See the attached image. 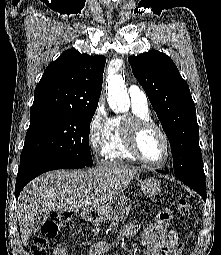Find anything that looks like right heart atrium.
Returning <instances> with one entry per match:
<instances>
[{"instance_id": "1", "label": "right heart atrium", "mask_w": 221, "mask_h": 255, "mask_svg": "<svg viewBox=\"0 0 221 255\" xmlns=\"http://www.w3.org/2000/svg\"><path fill=\"white\" fill-rule=\"evenodd\" d=\"M112 118L104 105L99 103L88 124V142L94 153H101L111 127Z\"/></svg>"}]
</instances>
